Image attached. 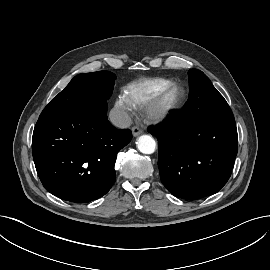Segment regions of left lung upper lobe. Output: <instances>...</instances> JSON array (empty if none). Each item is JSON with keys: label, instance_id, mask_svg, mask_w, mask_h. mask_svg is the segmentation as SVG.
I'll return each mask as SVG.
<instances>
[{"label": "left lung upper lobe", "instance_id": "5c2ea615", "mask_svg": "<svg viewBox=\"0 0 270 270\" xmlns=\"http://www.w3.org/2000/svg\"><path fill=\"white\" fill-rule=\"evenodd\" d=\"M189 98L199 116L216 118L233 116L224 97L215 89L208 77L197 69L189 70Z\"/></svg>", "mask_w": 270, "mask_h": 270}]
</instances>
